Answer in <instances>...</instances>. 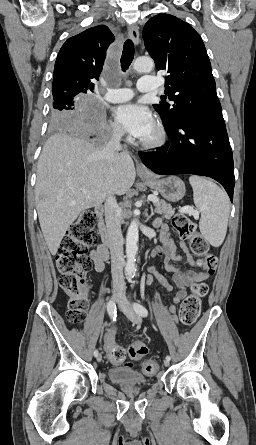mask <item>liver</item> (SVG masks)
<instances>
[{"label": "liver", "instance_id": "6515ba94", "mask_svg": "<svg viewBox=\"0 0 256 445\" xmlns=\"http://www.w3.org/2000/svg\"><path fill=\"white\" fill-rule=\"evenodd\" d=\"M103 149L88 138L63 133L52 135L43 146L35 197L40 227L52 255L81 212L101 205L110 194H125L135 181L129 154L116 153L109 164Z\"/></svg>", "mask_w": 256, "mask_h": 445}]
</instances>
